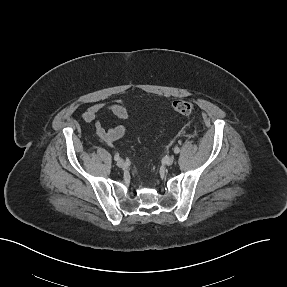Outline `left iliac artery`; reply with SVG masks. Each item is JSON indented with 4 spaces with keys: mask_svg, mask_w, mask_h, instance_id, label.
<instances>
[{
    "mask_svg": "<svg viewBox=\"0 0 287 287\" xmlns=\"http://www.w3.org/2000/svg\"><path fill=\"white\" fill-rule=\"evenodd\" d=\"M180 152V148L179 147H175L174 148V153L178 154Z\"/></svg>",
    "mask_w": 287,
    "mask_h": 287,
    "instance_id": "1",
    "label": "left iliac artery"
}]
</instances>
